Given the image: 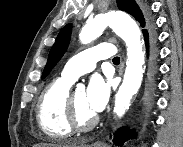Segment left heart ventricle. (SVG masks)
Instances as JSON below:
<instances>
[{
    "mask_svg": "<svg viewBox=\"0 0 183 147\" xmlns=\"http://www.w3.org/2000/svg\"><path fill=\"white\" fill-rule=\"evenodd\" d=\"M78 116L82 121H88L95 116L87 107L86 93L78 92L73 95Z\"/></svg>",
    "mask_w": 183,
    "mask_h": 147,
    "instance_id": "left-heart-ventricle-1",
    "label": "left heart ventricle"
}]
</instances>
